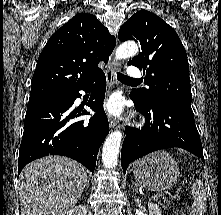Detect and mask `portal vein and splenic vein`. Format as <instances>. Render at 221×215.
<instances>
[{"instance_id":"portal-vein-and-splenic-vein-1","label":"portal vein and splenic vein","mask_w":221,"mask_h":215,"mask_svg":"<svg viewBox=\"0 0 221 215\" xmlns=\"http://www.w3.org/2000/svg\"><path fill=\"white\" fill-rule=\"evenodd\" d=\"M156 196H160V193H158Z\"/></svg>"}]
</instances>
